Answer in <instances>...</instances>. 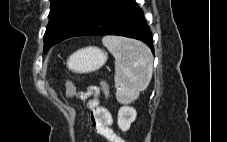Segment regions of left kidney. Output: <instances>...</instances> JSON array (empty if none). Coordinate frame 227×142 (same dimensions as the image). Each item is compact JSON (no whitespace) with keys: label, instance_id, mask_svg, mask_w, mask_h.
<instances>
[{"label":"left kidney","instance_id":"left-kidney-1","mask_svg":"<svg viewBox=\"0 0 227 142\" xmlns=\"http://www.w3.org/2000/svg\"><path fill=\"white\" fill-rule=\"evenodd\" d=\"M137 116L136 110L131 106H122L118 111V126L122 131H127Z\"/></svg>","mask_w":227,"mask_h":142}]
</instances>
